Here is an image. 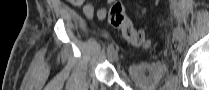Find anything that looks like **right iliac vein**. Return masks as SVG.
<instances>
[{"label":"right iliac vein","instance_id":"obj_1","mask_svg":"<svg viewBox=\"0 0 209 90\" xmlns=\"http://www.w3.org/2000/svg\"><path fill=\"white\" fill-rule=\"evenodd\" d=\"M118 53L116 49H113L108 53V59L109 61H115L117 59Z\"/></svg>","mask_w":209,"mask_h":90}]
</instances>
